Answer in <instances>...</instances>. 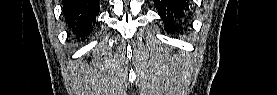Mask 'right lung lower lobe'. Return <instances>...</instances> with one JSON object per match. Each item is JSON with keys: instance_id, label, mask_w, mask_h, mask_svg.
<instances>
[{"instance_id": "obj_1", "label": "right lung lower lobe", "mask_w": 277, "mask_h": 95, "mask_svg": "<svg viewBox=\"0 0 277 95\" xmlns=\"http://www.w3.org/2000/svg\"><path fill=\"white\" fill-rule=\"evenodd\" d=\"M63 8L67 24L74 35L85 37L92 32L99 13V0H64Z\"/></svg>"}]
</instances>
